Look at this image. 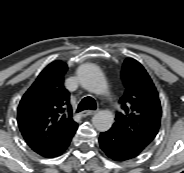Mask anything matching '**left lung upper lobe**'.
Here are the masks:
<instances>
[{"mask_svg":"<svg viewBox=\"0 0 184 173\" xmlns=\"http://www.w3.org/2000/svg\"><path fill=\"white\" fill-rule=\"evenodd\" d=\"M122 77L125 86L120 99L122 111L116 114L112 129L142 152L158 133L160 100L151 78L138 61L126 59Z\"/></svg>","mask_w":184,"mask_h":173,"instance_id":"1","label":"left lung upper lobe"}]
</instances>
